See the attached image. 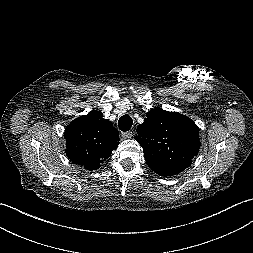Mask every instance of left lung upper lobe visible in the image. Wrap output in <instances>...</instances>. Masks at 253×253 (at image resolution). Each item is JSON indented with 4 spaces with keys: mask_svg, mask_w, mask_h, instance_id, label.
I'll list each match as a JSON object with an SVG mask.
<instances>
[{
    "mask_svg": "<svg viewBox=\"0 0 253 253\" xmlns=\"http://www.w3.org/2000/svg\"><path fill=\"white\" fill-rule=\"evenodd\" d=\"M137 133L135 139L143 148L147 164L162 176L184 171L199 151L198 126L177 112L150 110Z\"/></svg>",
    "mask_w": 253,
    "mask_h": 253,
    "instance_id": "left-lung-upper-lobe-1",
    "label": "left lung upper lobe"
}]
</instances>
